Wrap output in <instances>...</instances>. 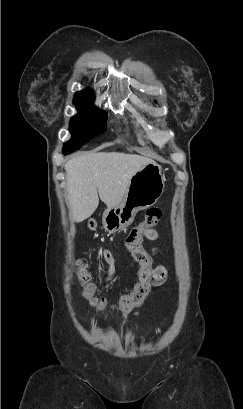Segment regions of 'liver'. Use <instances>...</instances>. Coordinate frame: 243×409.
Returning a JSON list of instances; mask_svg holds the SVG:
<instances>
[{"label": "liver", "instance_id": "obj_1", "mask_svg": "<svg viewBox=\"0 0 243 409\" xmlns=\"http://www.w3.org/2000/svg\"><path fill=\"white\" fill-rule=\"evenodd\" d=\"M154 161L121 152H91L65 164L67 201L72 222L89 218L99 205L118 206L136 171ZM99 195V197H98Z\"/></svg>", "mask_w": 243, "mask_h": 409}]
</instances>
